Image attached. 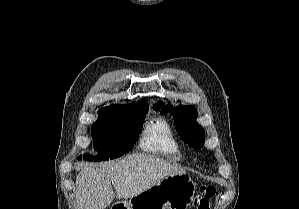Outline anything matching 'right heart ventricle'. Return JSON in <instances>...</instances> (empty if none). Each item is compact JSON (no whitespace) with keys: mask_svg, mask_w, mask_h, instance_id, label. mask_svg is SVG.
<instances>
[{"mask_svg":"<svg viewBox=\"0 0 299 209\" xmlns=\"http://www.w3.org/2000/svg\"><path fill=\"white\" fill-rule=\"evenodd\" d=\"M140 146L145 151L159 154L174 162L182 158L179 143L169 125L161 119H155L146 125Z\"/></svg>","mask_w":299,"mask_h":209,"instance_id":"1","label":"right heart ventricle"}]
</instances>
